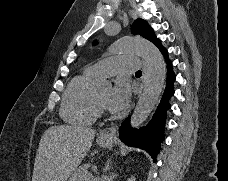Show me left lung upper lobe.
Wrapping results in <instances>:
<instances>
[{"label":"left lung upper lobe","instance_id":"obj_1","mask_svg":"<svg viewBox=\"0 0 228 181\" xmlns=\"http://www.w3.org/2000/svg\"><path fill=\"white\" fill-rule=\"evenodd\" d=\"M132 33L135 35H141L153 43L158 41L153 32V29L149 27L147 22L142 19H138L134 22L132 26Z\"/></svg>","mask_w":228,"mask_h":181}]
</instances>
